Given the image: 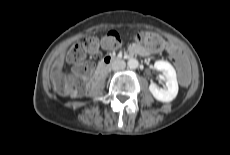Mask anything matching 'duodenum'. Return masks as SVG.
<instances>
[{
    "label": "duodenum",
    "instance_id": "410a0bca",
    "mask_svg": "<svg viewBox=\"0 0 230 155\" xmlns=\"http://www.w3.org/2000/svg\"><path fill=\"white\" fill-rule=\"evenodd\" d=\"M135 53L130 51L129 55L127 57H120V56H113V55H106L98 64L96 69V75L100 76L108 67H110L113 63L119 62L121 60H124Z\"/></svg>",
    "mask_w": 230,
    "mask_h": 155
}]
</instances>
